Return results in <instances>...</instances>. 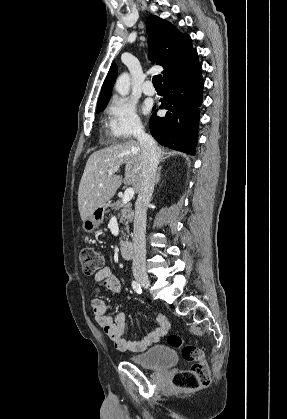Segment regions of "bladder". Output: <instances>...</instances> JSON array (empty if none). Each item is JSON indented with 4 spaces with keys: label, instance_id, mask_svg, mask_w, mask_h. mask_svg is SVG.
<instances>
[{
    "label": "bladder",
    "instance_id": "31cf9c89",
    "mask_svg": "<svg viewBox=\"0 0 287 419\" xmlns=\"http://www.w3.org/2000/svg\"><path fill=\"white\" fill-rule=\"evenodd\" d=\"M130 361L143 368L165 370L177 362V356L171 347L159 345L131 356Z\"/></svg>",
    "mask_w": 287,
    "mask_h": 419
}]
</instances>
